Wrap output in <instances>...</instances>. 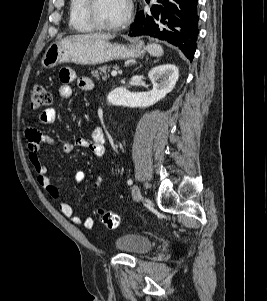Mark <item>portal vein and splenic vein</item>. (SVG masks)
Listing matches in <instances>:
<instances>
[{
    "mask_svg": "<svg viewBox=\"0 0 267 301\" xmlns=\"http://www.w3.org/2000/svg\"><path fill=\"white\" fill-rule=\"evenodd\" d=\"M117 74H118V71L117 70H112V72H111V75L114 77V76H117Z\"/></svg>",
    "mask_w": 267,
    "mask_h": 301,
    "instance_id": "portal-vein-and-splenic-vein-1",
    "label": "portal vein and splenic vein"
}]
</instances>
